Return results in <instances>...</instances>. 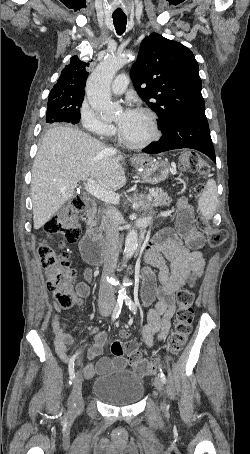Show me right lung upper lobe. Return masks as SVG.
I'll use <instances>...</instances> for the list:
<instances>
[{"instance_id": "cb5924a9", "label": "right lung upper lobe", "mask_w": 250, "mask_h": 454, "mask_svg": "<svg viewBox=\"0 0 250 454\" xmlns=\"http://www.w3.org/2000/svg\"><path fill=\"white\" fill-rule=\"evenodd\" d=\"M88 62L81 61L78 56L70 59V64L66 65L61 75L51 90L49 97L57 96L64 99L84 98V88L88 76Z\"/></svg>"}]
</instances>
